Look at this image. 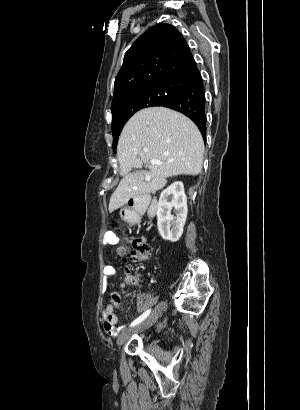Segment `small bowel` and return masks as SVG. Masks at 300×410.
Listing matches in <instances>:
<instances>
[{
  "label": "small bowel",
  "mask_w": 300,
  "mask_h": 410,
  "mask_svg": "<svg viewBox=\"0 0 300 410\" xmlns=\"http://www.w3.org/2000/svg\"><path fill=\"white\" fill-rule=\"evenodd\" d=\"M118 242L117 236L115 234H108L106 236V244L108 245H116ZM118 254H124L125 248L118 247L117 248ZM116 275V268L112 265H107L104 268V280H103V289L104 291L108 290L109 281ZM139 278L136 276H126L122 279L119 284V289H124L129 285H136L139 283ZM111 300L110 302L105 305L102 312L103 322H104V331L109 336H115L124 329V326H118V318L115 314V310L122 307V300L120 294L117 290L111 291ZM138 309H143V303L141 300V295L138 294Z\"/></svg>",
  "instance_id": "c3829d8e"
}]
</instances>
